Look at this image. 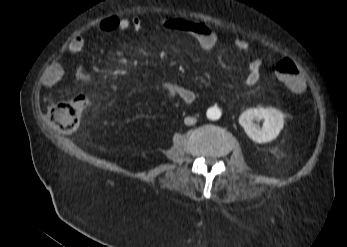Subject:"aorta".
<instances>
[{
    "label": "aorta",
    "mask_w": 347,
    "mask_h": 247,
    "mask_svg": "<svg viewBox=\"0 0 347 247\" xmlns=\"http://www.w3.org/2000/svg\"><path fill=\"white\" fill-rule=\"evenodd\" d=\"M207 117L211 120H218L221 117V112L219 109L210 108L207 111Z\"/></svg>",
    "instance_id": "aorta-1"
}]
</instances>
